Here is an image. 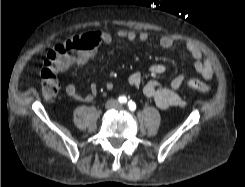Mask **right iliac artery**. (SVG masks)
Returning <instances> with one entry per match:
<instances>
[{"label":"right iliac artery","instance_id":"right-iliac-artery-1","mask_svg":"<svg viewBox=\"0 0 245 187\" xmlns=\"http://www.w3.org/2000/svg\"><path fill=\"white\" fill-rule=\"evenodd\" d=\"M118 101L120 102V103H126V101H127V98H126V96H120L119 98H118Z\"/></svg>","mask_w":245,"mask_h":187}]
</instances>
